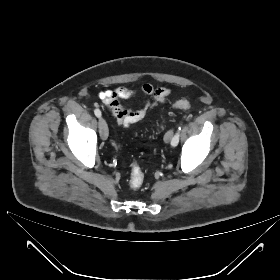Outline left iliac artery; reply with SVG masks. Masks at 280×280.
<instances>
[{
    "label": "left iliac artery",
    "instance_id": "obj_1",
    "mask_svg": "<svg viewBox=\"0 0 280 280\" xmlns=\"http://www.w3.org/2000/svg\"><path fill=\"white\" fill-rule=\"evenodd\" d=\"M180 130H181V126H179L178 128V132L174 135V137L172 138L171 141V145L172 146H177L178 142H179V136H180Z\"/></svg>",
    "mask_w": 280,
    "mask_h": 280
}]
</instances>
